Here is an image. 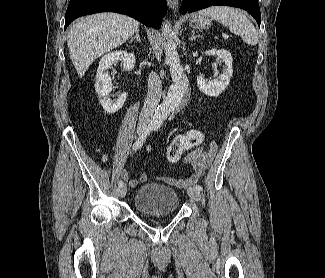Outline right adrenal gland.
<instances>
[{
  "label": "right adrenal gland",
  "mask_w": 325,
  "mask_h": 278,
  "mask_svg": "<svg viewBox=\"0 0 325 278\" xmlns=\"http://www.w3.org/2000/svg\"><path fill=\"white\" fill-rule=\"evenodd\" d=\"M139 31H140L139 29L136 30L135 36L130 39V43H132V41L134 40H137L139 43L141 42Z\"/></svg>",
  "instance_id": "1"
}]
</instances>
